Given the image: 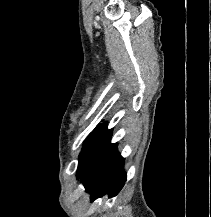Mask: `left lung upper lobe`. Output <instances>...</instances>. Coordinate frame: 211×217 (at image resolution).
Returning a JSON list of instances; mask_svg holds the SVG:
<instances>
[{
  "label": "left lung upper lobe",
  "instance_id": "left-lung-upper-lobe-1",
  "mask_svg": "<svg viewBox=\"0 0 211 217\" xmlns=\"http://www.w3.org/2000/svg\"><path fill=\"white\" fill-rule=\"evenodd\" d=\"M112 129L108 130L107 126L96 128L87 138L83 149L79 155L78 173L79 176L94 156L104 147L111 139Z\"/></svg>",
  "mask_w": 211,
  "mask_h": 217
}]
</instances>
